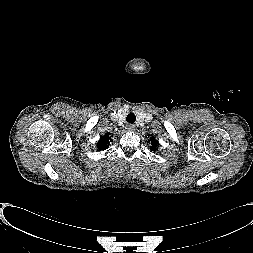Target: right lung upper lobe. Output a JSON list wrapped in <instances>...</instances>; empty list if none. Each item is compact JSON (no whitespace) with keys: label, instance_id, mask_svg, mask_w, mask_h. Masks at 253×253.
<instances>
[{"label":"right lung upper lobe","instance_id":"right-lung-upper-lobe-1","mask_svg":"<svg viewBox=\"0 0 253 253\" xmlns=\"http://www.w3.org/2000/svg\"><path fill=\"white\" fill-rule=\"evenodd\" d=\"M110 139L111 137L109 136V133H106L104 136H102L98 142V149L105 150L106 148H108Z\"/></svg>","mask_w":253,"mask_h":253}]
</instances>
